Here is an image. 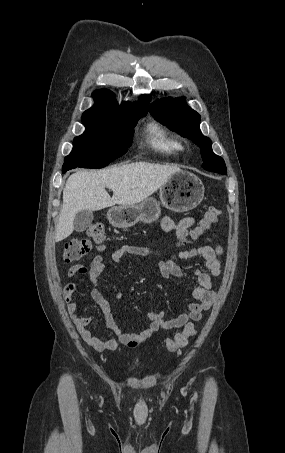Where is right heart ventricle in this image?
<instances>
[{"mask_svg": "<svg viewBox=\"0 0 285 453\" xmlns=\"http://www.w3.org/2000/svg\"><path fill=\"white\" fill-rule=\"evenodd\" d=\"M146 143L154 151L167 156H176L182 150L181 142L157 123L147 126Z\"/></svg>", "mask_w": 285, "mask_h": 453, "instance_id": "e07e8e85", "label": "right heart ventricle"}]
</instances>
